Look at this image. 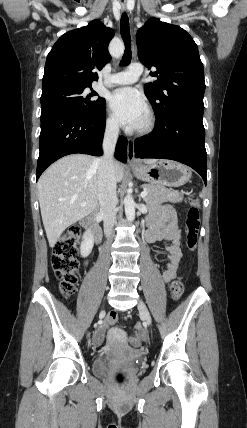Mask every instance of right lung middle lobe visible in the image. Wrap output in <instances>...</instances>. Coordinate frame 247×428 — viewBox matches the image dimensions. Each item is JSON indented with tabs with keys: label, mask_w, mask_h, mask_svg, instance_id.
<instances>
[{
	"label": "right lung middle lobe",
	"mask_w": 247,
	"mask_h": 428,
	"mask_svg": "<svg viewBox=\"0 0 247 428\" xmlns=\"http://www.w3.org/2000/svg\"><path fill=\"white\" fill-rule=\"evenodd\" d=\"M91 86H62L41 95V115L57 111L95 116L105 107L104 98H96Z\"/></svg>",
	"instance_id": "dd1d6c3e"
}]
</instances>
